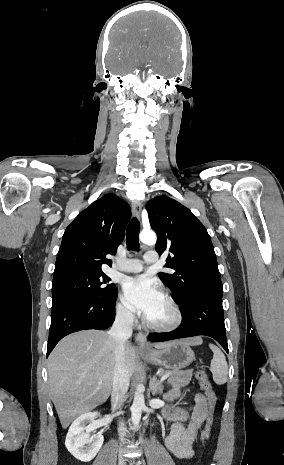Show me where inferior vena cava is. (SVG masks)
<instances>
[{"mask_svg": "<svg viewBox=\"0 0 284 465\" xmlns=\"http://www.w3.org/2000/svg\"><path fill=\"white\" fill-rule=\"evenodd\" d=\"M135 315L132 313H122V315H116L114 325L109 331V337H113L115 341L114 347V379L113 389L111 393V405L112 411L119 409L123 405L124 397L129 389L130 375L126 367L124 345L130 337H132V327L134 323ZM120 437H125L124 423H120ZM119 465H125L122 457H120Z\"/></svg>", "mask_w": 284, "mask_h": 465, "instance_id": "1", "label": "inferior vena cava"}]
</instances>
